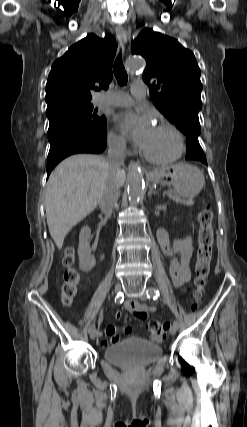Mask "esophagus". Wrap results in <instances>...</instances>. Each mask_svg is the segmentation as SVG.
<instances>
[{
    "mask_svg": "<svg viewBox=\"0 0 247 427\" xmlns=\"http://www.w3.org/2000/svg\"><path fill=\"white\" fill-rule=\"evenodd\" d=\"M115 31H116L117 38H118V39H119V41L121 42V45H122V47H123V50L125 51V45H126V40H127V37H126V31H125V29H124L122 26H120V25L116 27ZM139 167H140V164H139L138 162L131 161V162L129 163V168H130V169H137V168H139ZM143 171H144V172H146V170H145V169H143Z\"/></svg>",
    "mask_w": 247,
    "mask_h": 427,
    "instance_id": "1",
    "label": "esophagus"
}]
</instances>
